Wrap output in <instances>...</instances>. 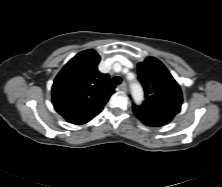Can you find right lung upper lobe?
<instances>
[{
	"label": "right lung upper lobe",
	"mask_w": 222,
	"mask_h": 187,
	"mask_svg": "<svg viewBox=\"0 0 222 187\" xmlns=\"http://www.w3.org/2000/svg\"><path fill=\"white\" fill-rule=\"evenodd\" d=\"M100 56L85 50L60 71L52 86L56 111L68 122L84 124L98 115L114 93L109 75L98 71Z\"/></svg>",
	"instance_id": "right-lung-upper-lobe-1"
}]
</instances>
